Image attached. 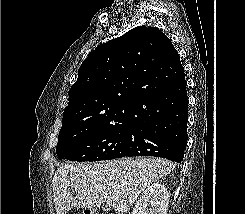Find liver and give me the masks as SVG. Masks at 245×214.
Here are the masks:
<instances>
[{
	"instance_id": "liver-1",
	"label": "liver",
	"mask_w": 245,
	"mask_h": 214,
	"mask_svg": "<svg viewBox=\"0 0 245 214\" xmlns=\"http://www.w3.org/2000/svg\"><path fill=\"white\" fill-rule=\"evenodd\" d=\"M175 165L156 158H125L93 164H65L52 181L57 214L73 207L94 209L108 203L114 211L128 212L153 182L168 175ZM70 187L74 188L73 197ZM116 195L117 199H112Z\"/></svg>"
}]
</instances>
